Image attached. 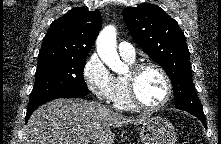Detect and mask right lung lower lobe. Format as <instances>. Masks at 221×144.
Here are the masks:
<instances>
[{
  "label": "right lung lower lobe",
  "instance_id": "1",
  "mask_svg": "<svg viewBox=\"0 0 221 144\" xmlns=\"http://www.w3.org/2000/svg\"><path fill=\"white\" fill-rule=\"evenodd\" d=\"M87 94H83V93H78V92H62V93H57V94H54L53 96L49 97L48 99H46L45 101L41 102L38 106L36 107H33V108H30V109H27V114H26V118H25V121L27 122L28 119L30 118L31 114L41 105L51 101V100H54V99H57V98H80V97H83V96H86Z\"/></svg>",
  "mask_w": 221,
  "mask_h": 144
}]
</instances>
